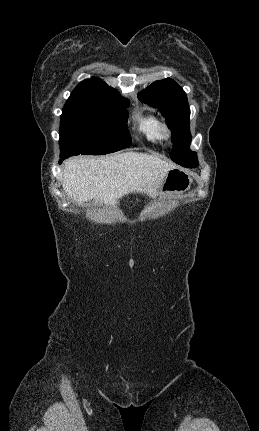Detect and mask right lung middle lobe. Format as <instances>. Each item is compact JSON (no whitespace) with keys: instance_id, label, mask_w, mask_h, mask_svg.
I'll return each mask as SVG.
<instances>
[{"instance_id":"right-lung-middle-lobe-1","label":"right lung middle lobe","mask_w":259,"mask_h":431,"mask_svg":"<svg viewBox=\"0 0 259 431\" xmlns=\"http://www.w3.org/2000/svg\"><path fill=\"white\" fill-rule=\"evenodd\" d=\"M127 107L129 102L119 94L99 100L69 98L61 115V154L102 155L129 147Z\"/></svg>"}]
</instances>
